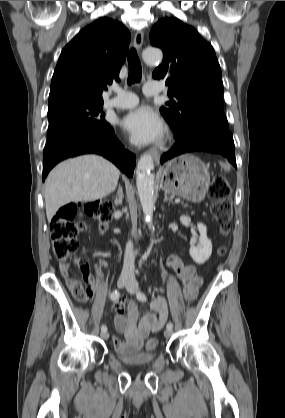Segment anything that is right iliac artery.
I'll return each mask as SVG.
<instances>
[{
    "instance_id": "82829eb1",
    "label": "right iliac artery",
    "mask_w": 285,
    "mask_h": 418,
    "mask_svg": "<svg viewBox=\"0 0 285 418\" xmlns=\"http://www.w3.org/2000/svg\"><path fill=\"white\" fill-rule=\"evenodd\" d=\"M119 297H120V292H119L118 290H114V291L111 293V295H110V298H111V300H113V301L118 300V299H119ZM101 331H102V332H103V331H107V326H106V325H102V326H101Z\"/></svg>"
}]
</instances>
